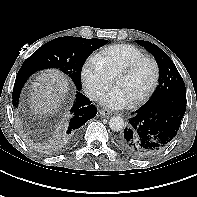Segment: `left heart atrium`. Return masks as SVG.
<instances>
[{
    "label": "left heart atrium",
    "instance_id": "obj_1",
    "mask_svg": "<svg viewBox=\"0 0 197 197\" xmlns=\"http://www.w3.org/2000/svg\"><path fill=\"white\" fill-rule=\"evenodd\" d=\"M101 101L110 108H123L130 103L125 93L116 86L104 93Z\"/></svg>",
    "mask_w": 197,
    "mask_h": 197
}]
</instances>
